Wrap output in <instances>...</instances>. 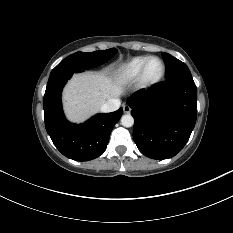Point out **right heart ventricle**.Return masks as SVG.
I'll use <instances>...</instances> for the list:
<instances>
[{
  "mask_svg": "<svg viewBox=\"0 0 233 233\" xmlns=\"http://www.w3.org/2000/svg\"><path fill=\"white\" fill-rule=\"evenodd\" d=\"M149 56H137L122 64L117 75L122 82H132L138 78L140 70Z\"/></svg>",
  "mask_w": 233,
  "mask_h": 233,
  "instance_id": "1",
  "label": "right heart ventricle"
}]
</instances>
